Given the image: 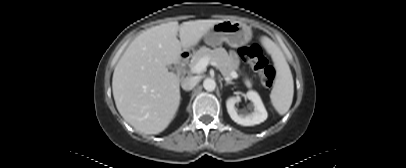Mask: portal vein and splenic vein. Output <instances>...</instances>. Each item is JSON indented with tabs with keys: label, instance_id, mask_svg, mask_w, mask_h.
<instances>
[{
	"label": "portal vein and splenic vein",
	"instance_id": "1",
	"mask_svg": "<svg viewBox=\"0 0 406 168\" xmlns=\"http://www.w3.org/2000/svg\"><path fill=\"white\" fill-rule=\"evenodd\" d=\"M209 57H203L201 58L192 68H191V72L192 73H201L203 72L207 65L209 64ZM238 77V74L236 72H232L231 73V78L236 79ZM229 79V78H226Z\"/></svg>",
	"mask_w": 406,
	"mask_h": 168
}]
</instances>
